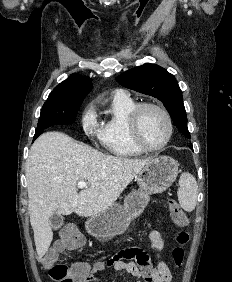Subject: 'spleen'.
Returning a JSON list of instances; mask_svg holds the SVG:
<instances>
[{"label": "spleen", "mask_w": 232, "mask_h": 282, "mask_svg": "<svg viewBox=\"0 0 232 282\" xmlns=\"http://www.w3.org/2000/svg\"><path fill=\"white\" fill-rule=\"evenodd\" d=\"M179 186L177 195L181 207L187 212L193 211L195 209L198 196V185L196 179L190 173H182L179 179Z\"/></svg>", "instance_id": "1"}]
</instances>
